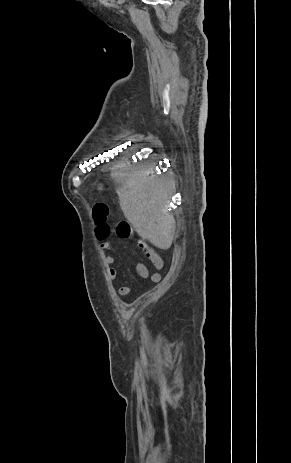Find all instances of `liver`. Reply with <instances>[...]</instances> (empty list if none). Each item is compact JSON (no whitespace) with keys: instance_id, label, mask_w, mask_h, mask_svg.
Listing matches in <instances>:
<instances>
[{"instance_id":"liver-1","label":"liver","mask_w":291,"mask_h":463,"mask_svg":"<svg viewBox=\"0 0 291 463\" xmlns=\"http://www.w3.org/2000/svg\"><path fill=\"white\" fill-rule=\"evenodd\" d=\"M111 177L120 183V207L138 235L158 248H170L175 232L174 217L168 213L172 183L153 168L123 163L113 168Z\"/></svg>"}]
</instances>
